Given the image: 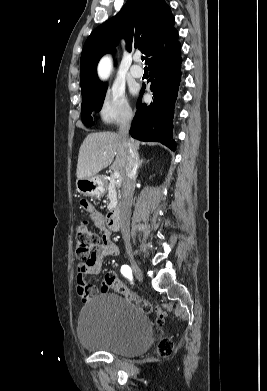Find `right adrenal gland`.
Here are the masks:
<instances>
[{"label": "right adrenal gland", "instance_id": "2a0ac1e0", "mask_svg": "<svg viewBox=\"0 0 267 391\" xmlns=\"http://www.w3.org/2000/svg\"><path fill=\"white\" fill-rule=\"evenodd\" d=\"M142 163H143V159L139 160L138 168L142 166Z\"/></svg>", "mask_w": 267, "mask_h": 391}]
</instances>
